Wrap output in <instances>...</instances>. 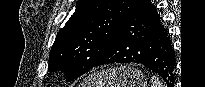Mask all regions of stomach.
I'll return each instance as SVG.
<instances>
[{"mask_svg":"<svg viewBox=\"0 0 205 87\" xmlns=\"http://www.w3.org/2000/svg\"><path fill=\"white\" fill-rule=\"evenodd\" d=\"M147 78L138 69L121 66L94 72L81 87H146Z\"/></svg>","mask_w":205,"mask_h":87,"instance_id":"0dacf381","label":"stomach"}]
</instances>
